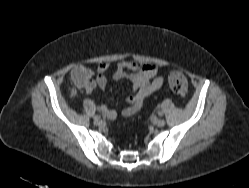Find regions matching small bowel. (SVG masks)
I'll list each match as a JSON object with an SVG mask.
<instances>
[{
    "label": "small bowel",
    "instance_id": "small-bowel-1",
    "mask_svg": "<svg viewBox=\"0 0 249 188\" xmlns=\"http://www.w3.org/2000/svg\"><path fill=\"white\" fill-rule=\"evenodd\" d=\"M109 69L108 63H100L97 67L96 77L92 76L90 70L85 67H76L71 72V78L75 88L84 89L87 94H92L97 88L104 89L107 85L106 72ZM80 74V79L77 75ZM114 80L129 79L132 83V93L124 101L123 116L130 117L136 114L142 107L144 100L157 91L164 82V77L159 74L158 66L150 63H139L136 61L122 62L117 65L114 73ZM99 109L109 119L116 118V112L101 105Z\"/></svg>",
    "mask_w": 249,
    "mask_h": 188
}]
</instances>
